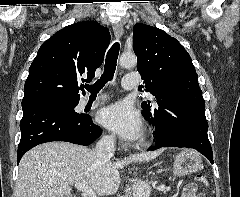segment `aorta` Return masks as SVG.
Listing matches in <instances>:
<instances>
[{"label": "aorta", "instance_id": "aorta-1", "mask_svg": "<svg viewBox=\"0 0 240 197\" xmlns=\"http://www.w3.org/2000/svg\"><path fill=\"white\" fill-rule=\"evenodd\" d=\"M136 63H137V58L134 54L124 53L120 57V64L124 68L133 67L136 65ZM144 192L145 191L138 193L140 195L139 197H141L142 194H144Z\"/></svg>", "mask_w": 240, "mask_h": 197}]
</instances>
